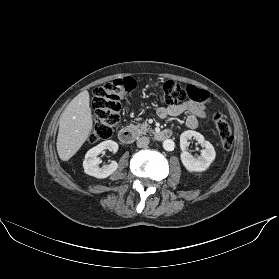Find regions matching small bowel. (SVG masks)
<instances>
[{"label":"small bowel","mask_w":279,"mask_h":279,"mask_svg":"<svg viewBox=\"0 0 279 279\" xmlns=\"http://www.w3.org/2000/svg\"><path fill=\"white\" fill-rule=\"evenodd\" d=\"M183 113H187L186 125L192 129L198 127L199 119H205L207 117L205 107L191 100L183 101L173 106H159L156 108V114L160 118L178 116Z\"/></svg>","instance_id":"obj_1"}]
</instances>
